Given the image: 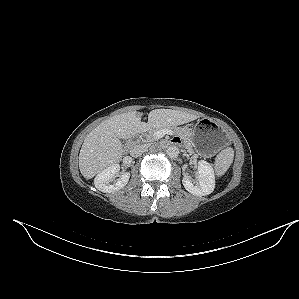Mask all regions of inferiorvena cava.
Returning <instances> with one entry per match:
<instances>
[{
    "instance_id": "1",
    "label": "inferior vena cava",
    "mask_w": 299,
    "mask_h": 299,
    "mask_svg": "<svg viewBox=\"0 0 299 299\" xmlns=\"http://www.w3.org/2000/svg\"><path fill=\"white\" fill-rule=\"evenodd\" d=\"M148 146L146 144H137L134 145L130 150V155L132 157H139L141 156L145 151H147Z\"/></svg>"
}]
</instances>
